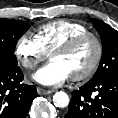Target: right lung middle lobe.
Returning a JSON list of instances; mask_svg holds the SVG:
<instances>
[{"mask_svg": "<svg viewBox=\"0 0 118 118\" xmlns=\"http://www.w3.org/2000/svg\"><path fill=\"white\" fill-rule=\"evenodd\" d=\"M30 28L24 21L0 19V67H16L14 54L19 38Z\"/></svg>", "mask_w": 118, "mask_h": 118, "instance_id": "dd1d6c3e", "label": "right lung middle lobe"}]
</instances>
